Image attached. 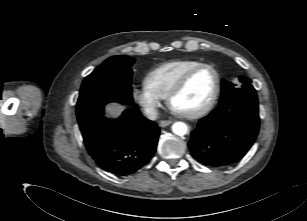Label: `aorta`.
I'll return each instance as SVG.
<instances>
[{
	"instance_id": "1",
	"label": "aorta",
	"mask_w": 307,
	"mask_h": 221,
	"mask_svg": "<svg viewBox=\"0 0 307 221\" xmlns=\"http://www.w3.org/2000/svg\"><path fill=\"white\" fill-rule=\"evenodd\" d=\"M172 131L178 136H184L188 132V127L183 122H175L172 125Z\"/></svg>"
}]
</instances>
